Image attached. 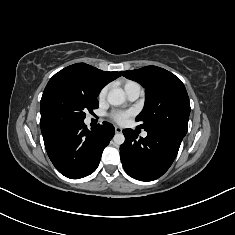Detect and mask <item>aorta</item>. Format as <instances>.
<instances>
[{
  "mask_svg": "<svg viewBox=\"0 0 235 235\" xmlns=\"http://www.w3.org/2000/svg\"><path fill=\"white\" fill-rule=\"evenodd\" d=\"M107 101L113 105L118 106L125 102V94L121 89H112L109 91L107 96ZM114 143L117 145H121L125 141V137L122 133H116L113 137Z\"/></svg>",
  "mask_w": 235,
  "mask_h": 235,
  "instance_id": "762f6f07",
  "label": "aorta"
}]
</instances>
